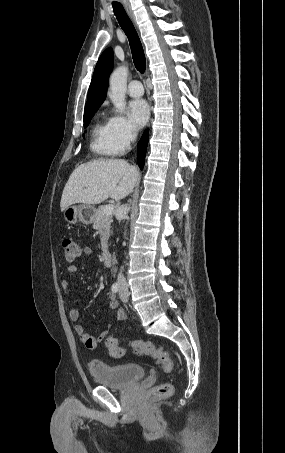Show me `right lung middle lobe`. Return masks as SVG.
<instances>
[{"mask_svg": "<svg viewBox=\"0 0 285 453\" xmlns=\"http://www.w3.org/2000/svg\"><path fill=\"white\" fill-rule=\"evenodd\" d=\"M96 111H91V112H87V113H84V127H87L91 118L94 116Z\"/></svg>", "mask_w": 285, "mask_h": 453, "instance_id": "obj_1", "label": "right lung middle lobe"}]
</instances>
